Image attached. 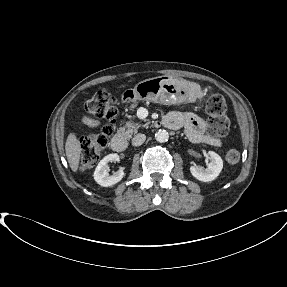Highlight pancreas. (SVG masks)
<instances>
[{"label":"pancreas","instance_id":"cf45deb5","mask_svg":"<svg viewBox=\"0 0 287 287\" xmlns=\"http://www.w3.org/2000/svg\"><path fill=\"white\" fill-rule=\"evenodd\" d=\"M145 125L140 124V123H136V122H132V121H127L125 123V125L120 128V132L127 138H131V136L133 134H136L138 132V130L142 127H145Z\"/></svg>","mask_w":287,"mask_h":287}]
</instances>
